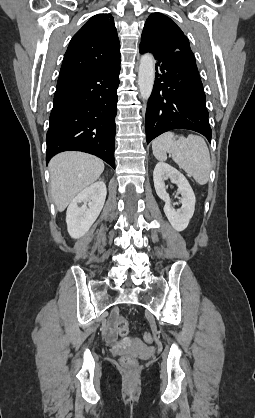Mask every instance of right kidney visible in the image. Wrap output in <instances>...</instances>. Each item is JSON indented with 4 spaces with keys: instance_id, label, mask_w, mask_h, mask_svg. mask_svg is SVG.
<instances>
[{
    "instance_id": "obj_1",
    "label": "right kidney",
    "mask_w": 255,
    "mask_h": 418,
    "mask_svg": "<svg viewBox=\"0 0 255 418\" xmlns=\"http://www.w3.org/2000/svg\"><path fill=\"white\" fill-rule=\"evenodd\" d=\"M106 194L105 183L98 181L72 200L66 212L67 230L72 238L78 239L90 229L104 206ZM81 203L83 205L79 206Z\"/></svg>"
}]
</instances>
